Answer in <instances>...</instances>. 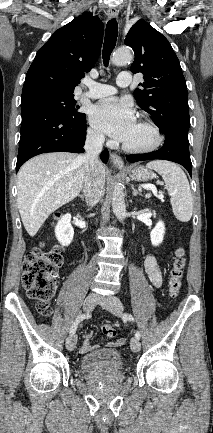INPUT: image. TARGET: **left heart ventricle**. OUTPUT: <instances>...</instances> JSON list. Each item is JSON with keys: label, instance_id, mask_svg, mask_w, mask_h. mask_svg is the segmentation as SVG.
Listing matches in <instances>:
<instances>
[{"label": "left heart ventricle", "instance_id": "obj_1", "mask_svg": "<svg viewBox=\"0 0 213 433\" xmlns=\"http://www.w3.org/2000/svg\"><path fill=\"white\" fill-rule=\"evenodd\" d=\"M152 138L150 130L140 122H136L124 143L131 147H142L149 144L152 141Z\"/></svg>", "mask_w": 213, "mask_h": 433}]
</instances>
